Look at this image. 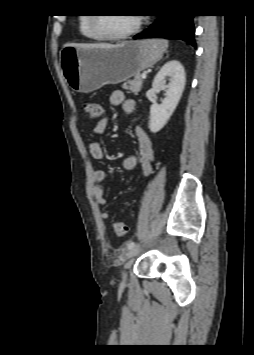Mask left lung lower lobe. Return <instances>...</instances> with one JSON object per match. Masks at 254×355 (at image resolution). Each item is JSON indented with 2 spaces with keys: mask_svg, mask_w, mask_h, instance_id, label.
I'll return each mask as SVG.
<instances>
[{
  "mask_svg": "<svg viewBox=\"0 0 254 355\" xmlns=\"http://www.w3.org/2000/svg\"><path fill=\"white\" fill-rule=\"evenodd\" d=\"M193 16L161 15L154 25L150 26L143 33L135 35L133 38H179L196 47Z\"/></svg>",
  "mask_w": 254,
  "mask_h": 355,
  "instance_id": "1",
  "label": "left lung lower lobe"
}]
</instances>
